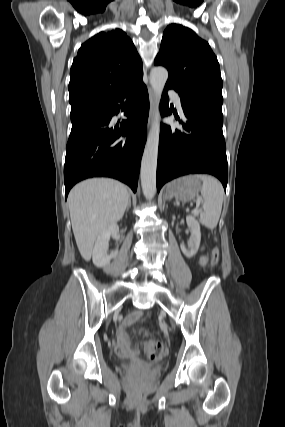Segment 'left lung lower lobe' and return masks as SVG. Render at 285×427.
Here are the masks:
<instances>
[{"label":"left lung lower lobe","instance_id":"0a47b994","mask_svg":"<svg viewBox=\"0 0 285 427\" xmlns=\"http://www.w3.org/2000/svg\"><path fill=\"white\" fill-rule=\"evenodd\" d=\"M165 86L161 114L168 116ZM181 97V96H180ZM187 118L182 130L161 125L157 163V190L168 181L186 174L206 173L216 176L225 191L228 181L226 146L222 132V111L204 106H191L181 98Z\"/></svg>","mask_w":285,"mask_h":427}]
</instances>
